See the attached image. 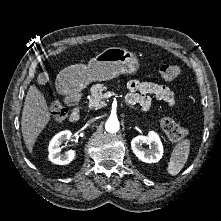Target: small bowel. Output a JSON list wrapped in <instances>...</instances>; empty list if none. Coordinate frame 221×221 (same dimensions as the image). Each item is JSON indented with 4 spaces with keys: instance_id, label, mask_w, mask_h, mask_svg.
Instances as JSON below:
<instances>
[{
    "instance_id": "1",
    "label": "small bowel",
    "mask_w": 221,
    "mask_h": 221,
    "mask_svg": "<svg viewBox=\"0 0 221 221\" xmlns=\"http://www.w3.org/2000/svg\"><path fill=\"white\" fill-rule=\"evenodd\" d=\"M127 86L131 92L126 96L125 104L139 105L144 112L149 110L152 97L169 106H173L176 102L174 93L164 85L151 81L130 80Z\"/></svg>"
}]
</instances>
